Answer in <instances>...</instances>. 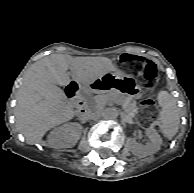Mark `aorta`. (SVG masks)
<instances>
[{
  "mask_svg": "<svg viewBox=\"0 0 194 193\" xmlns=\"http://www.w3.org/2000/svg\"><path fill=\"white\" fill-rule=\"evenodd\" d=\"M117 111L113 108H107L104 112H103V116L105 118L111 119L117 116Z\"/></svg>",
  "mask_w": 194,
  "mask_h": 193,
  "instance_id": "aorta-1",
  "label": "aorta"
}]
</instances>
